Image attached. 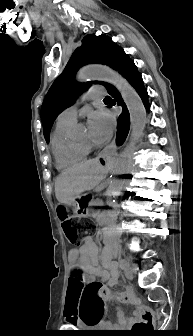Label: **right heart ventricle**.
Here are the masks:
<instances>
[{
  "label": "right heart ventricle",
  "instance_id": "e07e8e85",
  "mask_svg": "<svg viewBox=\"0 0 193 336\" xmlns=\"http://www.w3.org/2000/svg\"><path fill=\"white\" fill-rule=\"evenodd\" d=\"M73 124L58 125L52 135V151L58 168L73 166L86 158L89 147L68 137Z\"/></svg>",
  "mask_w": 193,
  "mask_h": 336
}]
</instances>
